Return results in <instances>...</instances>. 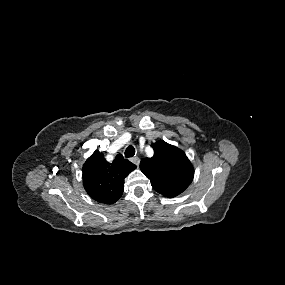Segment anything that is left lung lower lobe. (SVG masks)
<instances>
[{"instance_id": "0a47b994", "label": "left lung lower lobe", "mask_w": 285, "mask_h": 285, "mask_svg": "<svg viewBox=\"0 0 285 285\" xmlns=\"http://www.w3.org/2000/svg\"><path fill=\"white\" fill-rule=\"evenodd\" d=\"M175 196H177V195H175V194L166 195V197H175Z\"/></svg>"}]
</instances>
